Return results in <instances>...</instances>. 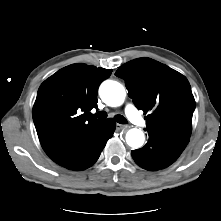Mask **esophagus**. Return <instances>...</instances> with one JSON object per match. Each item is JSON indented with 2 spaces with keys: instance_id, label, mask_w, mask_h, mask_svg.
I'll return each mask as SVG.
<instances>
[{
  "instance_id": "esophagus-1",
  "label": "esophagus",
  "mask_w": 221,
  "mask_h": 221,
  "mask_svg": "<svg viewBox=\"0 0 221 221\" xmlns=\"http://www.w3.org/2000/svg\"><path fill=\"white\" fill-rule=\"evenodd\" d=\"M125 128H127L126 125L116 124V129H117V130H122V129H125Z\"/></svg>"
}]
</instances>
